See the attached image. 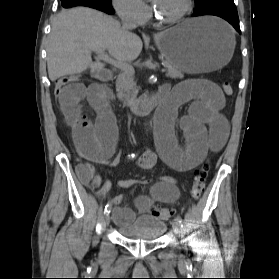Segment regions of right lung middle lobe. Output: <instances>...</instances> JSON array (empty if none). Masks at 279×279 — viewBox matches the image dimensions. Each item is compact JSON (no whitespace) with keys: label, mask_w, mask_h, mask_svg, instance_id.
Listing matches in <instances>:
<instances>
[{"label":"right lung middle lobe","mask_w":279,"mask_h":279,"mask_svg":"<svg viewBox=\"0 0 279 279\" xmlns=\"http://www.w3.org/2000/svg\"><path fill=\"white\" fill-rule=\"evenodd\" d=\"M101 3H103L104 5H108V6H112L111 5V0H99Z\"/></svg>","instance_id":"obj_1"}]
</instances>
